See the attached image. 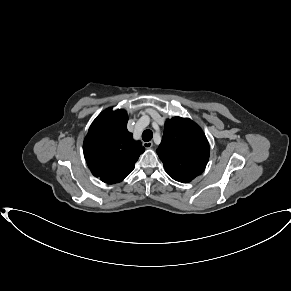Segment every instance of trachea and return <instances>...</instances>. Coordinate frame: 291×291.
I'll return each mask as SVG.
<instances>
[{
    "mask_svg": "<svg viewBox=\"0 0 291 291\" xmlns=\"http://www.w3.org/2000/svg\"><path fill=\"white\" fill-rule=\"evenodd\" d=\"M153 133L151 130L147 129L142 133V139L145 142H148L152 139Z\"/></svg>",
    "mask_w": 291,
    "mask_h": 291,
    "instance_id": "obj_1",
    "label": "trachea"
}]
</instances>
